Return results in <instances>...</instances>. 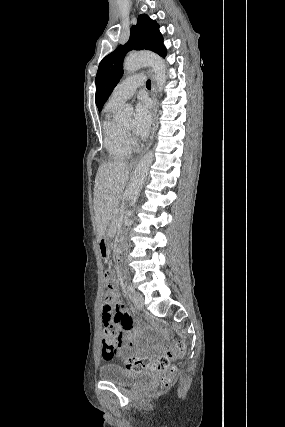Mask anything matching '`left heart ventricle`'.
Here are the masks:
<instances>
[{"label":"left heart ventricle","mask_w":285,"mask_h":427,"mask_svg":"<svg viewBox=\"0 0 285 427\" xmlns=\"http://www.w3.org/2000/svg\"><path fill=\"white\" fill-rule=\"evenodd\" d=\"M122 125L125 127V128H127V129H131L132 128V126H133V122H132V119L131 118H129V119H127V120H125V121H123L122 122Z\"/></svg>","instance_id":"b2bd125f"}]
</instances>
